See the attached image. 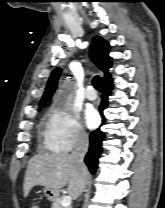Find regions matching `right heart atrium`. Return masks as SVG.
<instances>
[{"mask_svg": "<svg viewBox=\"0 0 165 208\" xmlns=\"http://www.w3.org/2000/svg\"><path fill=\"white\" fill-rule=\"evenodd\" d=\"M88 141L79 113L67 106L53 105L47 116L45 142L55 152L66 153Z\"/></svg>", "mask_w": 165, "mask_h": 208, "instance_id": "right-heart-atrium-1", "label": "right heart atrium"}]
</instances>
